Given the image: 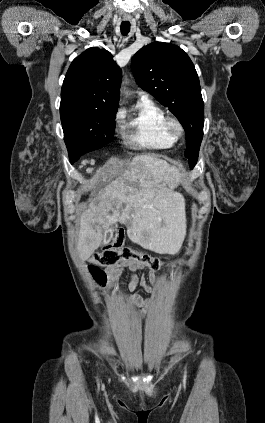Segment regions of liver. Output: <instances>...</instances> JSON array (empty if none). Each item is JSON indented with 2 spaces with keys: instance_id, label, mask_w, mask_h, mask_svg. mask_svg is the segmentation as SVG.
Returning a JSON list of instances; mask_svg holds the SVG:
<instances>
[{
  "instance_id": "liver-1",
  "label": "liver",
  "mask_w": 265,
  "mask_h": 423,
  "mask_svg": "<svg viewBox=\"0 0 265 423\" xmlns=\"http://www.w3.org/2000/svg\"><path fill=\"white\" fill-rule=\"evenodd\" d=\"M100 175L102 182H111L81 214L76 247L81 260L90 258L102 243L103 229L116 222L126 224L129 239L147 250L179 252L187 227L184 197L173 190L182 181L180 170L144 154L134 157L128 167L112 157Z\"/></svg>"
}]
</instances>
